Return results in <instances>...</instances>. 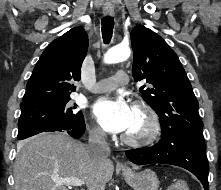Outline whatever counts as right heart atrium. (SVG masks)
Returning <instances> with one entry per match:
<instances>
[{
	"instance_id": "right-heart-atrium-1",
	"label": "right heart atrium",
	"mask_w": 221,
	"mask_h": 190,
	"mask_svg": "<svg viewBox=\"0 0 221 190\" xmlns=\"http://www.w3.org/2000/svg\"><path fill=\"white\" fill-rule=\"evenodd\" d=\"M90 133L95 139H102L104 137V132L98 126H93Z\"/></svg>"
}]
</instances>
